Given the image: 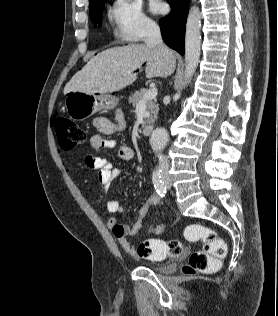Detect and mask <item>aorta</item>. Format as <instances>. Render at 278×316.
<instances>
[{"mask_svg": "<svg viewBox=\"0 0 278 316\" xmlns=\"http://www.w3.org/2000/svg\"><path fill=\"white\" fill-rule=\"evenodd\" d=\"M201 51V14L198 7H191L186 23L185 35V75L184 87L187 86L199 63ZM169 135L166 130L157 128L150 136V145L154 152H160L166 146Z\"/></svg>", "mask_w": 278, "mask_h": 316, "instance_id": "762f6f07", "label": "aorta"}]
</instances>
